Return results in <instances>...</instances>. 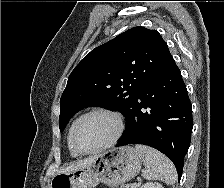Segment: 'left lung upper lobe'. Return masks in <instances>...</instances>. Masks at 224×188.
Here are the masks:
<instances>
[{
    "mask_svg": "<svg viewBox=\"0 0 224 188\" xmlns=\"http://www.w3.org/2000/svg\"><path fill=\"white\" fill-rule=\"evenodd\" d=\"M173 61L159 32L141 26L96 47L68 78L60 99V131L75 113L96 105L120 111L128 123L144 84Z\"/></svg>",
    "mask_w": 224,
    "mask_h": 188,
    "instance_id": "obj_1",
    "label": "left lung upper lobe"
}]
</instances>
